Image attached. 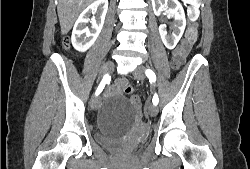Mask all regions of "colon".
<instances>
[{"instance_id":"5ec220e1","label":"colon","mask_w":250,"mask_h":169,"mask_svg":"<svg viewBox=\"0 0 250 169\" xmlns=\"http://www.w3.org/2000/svg\"><path fill=\"white\" fill-rule=\"evenodd\" d=\"M197 20H193V18H188V25L191 27L187 31V41L192 42L196 39L197 36ZM61 43H63V46L65 48L68 47V43H72V38H69V34H64V38H61ZM170 69H174V72H179L180 64L178 60L175 57H172ZM123 95H133V90H130V85H125V90H123ZM131 102H133L134 106V112L136 118L140 120L142 117V111H141V96L140 95H133L131 97Z\"/></svg>"}]
</instances>
